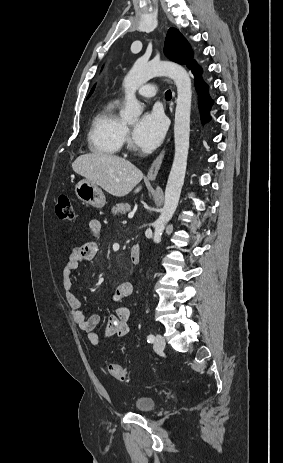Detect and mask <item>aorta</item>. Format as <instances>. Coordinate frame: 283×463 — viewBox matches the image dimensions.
Segmentation results:
<instances>
[{"instance_id":"1","label":"aorta","mask_w":283,"mask_h":463,"mask_svg":"<svg viewBox=\"0 0 283 463\" xmlns=\"http://www.w3.org/2000/svg\"><path fill=\"white\" fill-rule=\"evenodd\" d=\"M156 76H168L177 87L174 123L175 154L165 189V201L160 217L154 223L153 241L161 240L166 224L178 206L187 167L190 136L192 83L187 71L180 65L167 61L143 62L137 60L123 81L125 108L121 117L127 122L138 120L142 105L136 98L137 89Z\"/></svg>"}]
</instances>
